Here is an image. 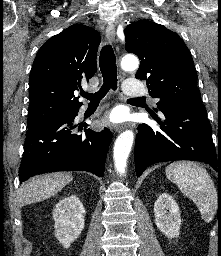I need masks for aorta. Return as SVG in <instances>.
Listing matches in <instances>:
<instances>
[{
  "label": "aorta",
  "instance_id": "obj_1",
  "mask_svg": "<svg viewBox=\"0 0 221 256\" xmlns=\"http://www.w3.org/2000/svg\"><path fill=\"white\" fill-rule=\"evenodd\" d=\"M139 66V62L134 57H126L121 61V67L124 70H135ZM134 141V133L131 130H126L121 133L114 144V165L120 174L125 173L127 159L130 154Z\"/></svg>",
  "mask_w": 221,
  "mask_h": 256
}]
</instances>
